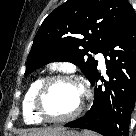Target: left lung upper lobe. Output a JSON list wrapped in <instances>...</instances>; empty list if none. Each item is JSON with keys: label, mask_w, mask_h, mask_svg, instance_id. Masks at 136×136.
I'll list each match as a JSON object with an SVG mask.
<instances>
[{"label": "left lung upper lobe", "mask_w": 136, "mask_h": 136, "mask_svg": "<svg viewBox=\"0 0 136 136\" xmlns=\"http://www.w3.org/2000/svg\"><path fill=\"white\" fill-rule=\"evenodd\" d=\"M130 8L128 0H67L39 28L25 75L47 63L67 61L91 79L98 62L88 52L102 53Z\"/></svg>", "instance_id": "obj_1"}]
</instances>
